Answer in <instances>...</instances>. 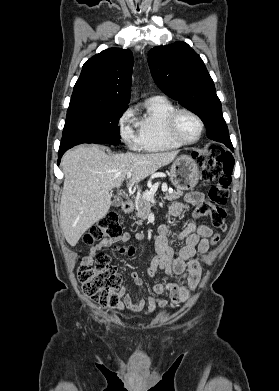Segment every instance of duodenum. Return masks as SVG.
<instances>
[{"instance_id":"410a0bca","label":"duodenum","mask_w":279,"mask_h":391,"mask_svg":"<svg viewBox=\"0 0 279 391\" xmlns=\"http://www.w3.org/2000/svg\"><path fill=\"white\" fill-rule=\"evenodd\" d=\"M133 210V203L132 201L130 200H125L123 203H122V211L126 214H129L131 213Z\"/></svg>"}]
</instances>
